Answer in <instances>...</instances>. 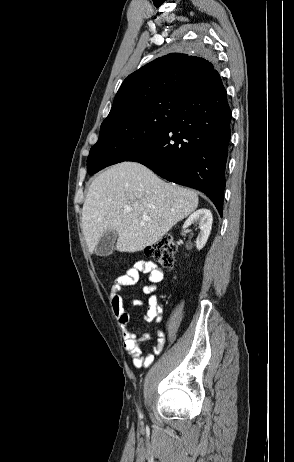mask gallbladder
<instances>
[{
	"instance_id": "bac80fb5",
	"label": "gallbladder",
	"mask_w": 294,
	"mask_h": 462,
	"mask_svg": "<svg viewBox=\"0 0 294 462\" xmlns=\"http://www.w3.org/2000/svg\"><path fill=\"white\" fill-rule=\"evenodd\" d=\"M118 238V233L115 230H108L101 236L94 252L97 256H109Z\"/></svg>"
}]
</instances>
